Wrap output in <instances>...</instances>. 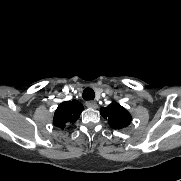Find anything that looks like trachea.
<instances>
[{
    "mask_svg": "<svg viewBox=\"0 0 181 181\" xmlns=\"http://www.w3.org/2000/svg\"><path fill=\"white\" fill-rule=\"evenodd\" d=\"M82 96L84 100H93L95 97L94 90L91 88H86L84 89Z\"/></svg>",
    "mask_w": 181,
    "mask_h": 181,
    "instance_id": "3493384b",
    "label": "trachea"
}]
</instances>
